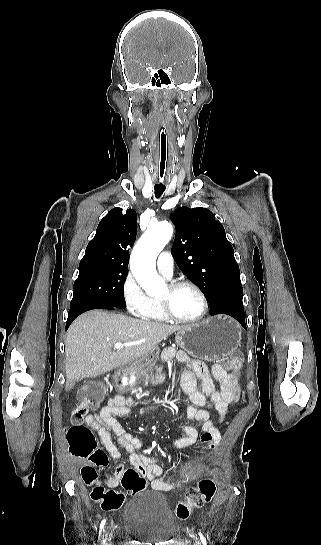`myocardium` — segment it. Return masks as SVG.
Returning a JSON list of instances; mask_svg holds the SVG:
<instances>
[{
	"label": "myocardium",
	"instance_id": "1",
	"mask_svg": "<svg viewBox=\"0 0 321 545\" xmlns=\"http://www.w3.org/2000/svg\"><path fill=\"white\" fill-rule=\"evenodd\" d=\"M167 287L172 291V292H176L180 289H183V288H191L193 289L194 291L197 292V294L199 295L200 299H201V303H202V308H201V312L199 313L198 316H196L195 318H192V319H185V318H181L179 317L178 315H176L166 304L164 303H161V302H158V305L162 311V313L166 316V318L172 322H175V323H178V324H184V325H194V324H198L200 323L201 321L204 320V318L207 316L208 312H209V301H208V298L205 294V292L203 291V289L198 286L197 284L191 282V281H187V280H183V281H176V282H171L167 285Z\"/></svg>",
	"mask_w": 321,
	"mask_h": 545
}]
</instances>
